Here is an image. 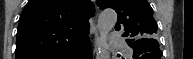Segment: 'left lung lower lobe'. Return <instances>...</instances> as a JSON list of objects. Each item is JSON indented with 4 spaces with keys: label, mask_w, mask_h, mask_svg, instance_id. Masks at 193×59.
I'll return each mask as SVG.
<instances>
[{
    "label": "left lung lower lobe",
    "mask_w": 193,
    "mask_h": 59,
    "mask_svg": "<svg viewBox=\"0 0 193 59\" xmlns=\"http://www.w3.org/2000/svg\"><path fill=\"white\" fill-rule=\"evenodd\" d=\"M130 47L134 50L133 59H161L162 52L158 42L143 43L137 41Z\"/></svg>",
    "instance_id": "0a47b994"
}]
</instances>
